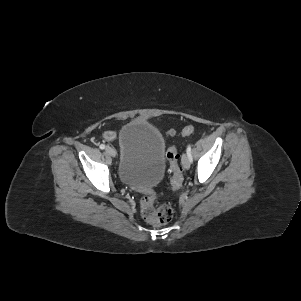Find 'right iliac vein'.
<instances>
[{"instance_id":"obj_1","label":"right iliac vein","mask_w":301,"mask_h":301,"mask_svg":"<svg viewBox=\"0 0 301 301\" xmlns=\"http://www.w3.org/2000/svg\"><path fill=\"white\" fill-rule=\"evenodd\" d=\"M105 151H106V153L108 154V155H110L111 157H116V151H115V149L113 148V147H110V146H107L106 148H105Z\"/></svg>"}]
</instances>
